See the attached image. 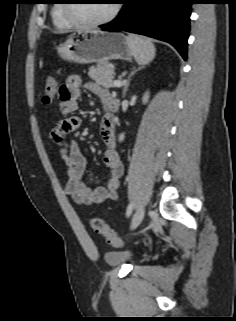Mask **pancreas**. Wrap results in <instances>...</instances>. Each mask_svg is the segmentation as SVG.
I'll use <instances>...</instances> for the list:
<instances>
[{
    "mask_svg": "<svg viewBox=\"0 0 236 321\" xmlns=\"http://www.w3.org/2000/svg\"><path fill=\"white\" fill-rule=\"evenodd\" d=\"M88 75L105 88L116 87L114 84L115 73L113 66L107 62L98 63L96 66L90 67Z\"/></svg>",
    "mask_w": 236,
    "mask_h": 321,
    "instance_id": "obj_1",
    "label": "pancreas"
}]
</instances>
